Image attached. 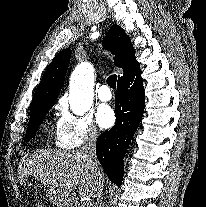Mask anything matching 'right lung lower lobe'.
I'll use <instances>...</instances> for the list:
<instances>
[{
  "label": "right lung lower lobe",
  "instance_id": "98d812e1",
  "mask_svg": "<svg viewBox=\"0 0 206 207\" xmlns=\"http://www.w3.org/2000/svg\"><path fill=\"white\" fill-rule=\"evenodd\" d=\"M144 87L137 64L128 74L118 79L115 95L116 123L97 139V158L109 179L120 186L126 149L144 111Z\"/></svg>",
  "mask_w": 206,
  "mask_h": 207
}]
</instances>
